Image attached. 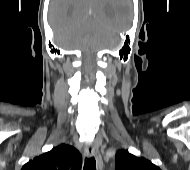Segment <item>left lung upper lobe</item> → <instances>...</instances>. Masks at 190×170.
I'll list each match as a JSON object with an SVG mask.
<instances>
[{"mask_svg": "<svg viewBox=\"0 0 190 170\" xmlns=\"http://www.w3.org/2000/svg\"><path fill=\"white\" fill-rule=\"evenodd\" d=\"M116 170H160L151 161L136 157L126 150H120L115 156Z\"/></svg>", "mask_w": 190, "mask_h": 170, "instance_id": "1", "label": "left lung upper lobe"}]
</instances>
